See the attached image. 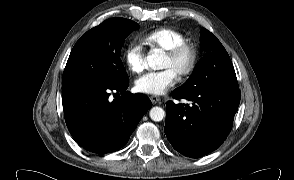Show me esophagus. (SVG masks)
I'll return each instance as SVG.
<instances>
[{
	"instance_id": "34e87169",
	"label": "esophagus",
	"mask_w": 294,
	"mask_h": 180,
	"mask_svg": "<svg viewBox=\"0 0 294 180\" xmlns=\"http://www.w3.org/2000/svg\"><path fill=\"white\" fill-rule=\"evenodd\" d=\"M151 102L153 103V104H156V103H159L160 102V98L159 97H157V96H151Z\"/></svg>"
}]
</instances>
